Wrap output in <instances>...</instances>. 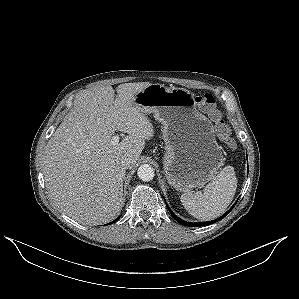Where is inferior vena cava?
<instances>
[{"label": "inferior vena cava", "instance_id": "obj_1", "mask_svg": "<svg viewBox=\"0 0 299 299\" xmlns=\"http://www.w3.org/2000/svg\"><path fill=\"white\" fill-rule=\"evenodd\" d=\"M132 163H133V160L130 157H124L121 159V162H120L122 168H124V169H128L132 165Z\"/></svg>", "mask_w": 299, "mask_h": 299}]
</instances>
